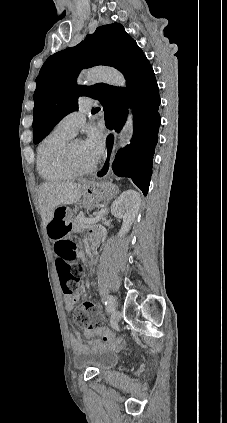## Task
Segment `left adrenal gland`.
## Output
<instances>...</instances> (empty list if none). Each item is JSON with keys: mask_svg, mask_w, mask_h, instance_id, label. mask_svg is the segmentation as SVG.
Returning <instances> with one entry per match:
<instances>
[{"mask_svg": "<svg viewBox=\"0 0 227 423\" xmlns=\"http://www.w3.org/2000/svg\"><path fill=\"white\" fill-rule=\"evenodd\" d=\"M104 215H107V213H109V210H108V204H106V202H105V204H104Z\"/></svg>", "mask_w": 227, "mask_h": 423, "instance_id": "left-adrenal-gland-1", "label": "left adrenal gland"}]
</instances>
